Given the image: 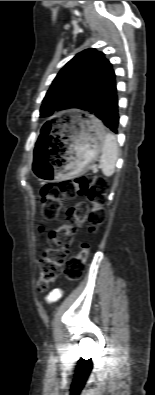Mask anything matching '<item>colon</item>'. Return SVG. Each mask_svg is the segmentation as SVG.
<instances>
[{
    "mask_svg": "<svg viewBox=\"0 0 155 395\" xmlns=\"http://www.w3.org/2000/svg\"><path fill=\"white\" fill-rule=\"evenodd\" d=\"M108 182L105 178L85 174L57 184L45 185L40 193L41 211L47 220L57 218L66 199L85 196L89 202H80L68 208L63 222L49 233V239L55 243L54 248L47 249L40 260L38 289L44 291L61 273L65 251L69 247L72 235L88 222L90 229L101 226L106 218L104 208ZM89 246L83 244L81 252L65 263L64 273L68 280H78L84 270Z\"/></svg>",
    "mask_w": 155,
    "mask_h": 395,
    "instance_id": "5ec220e1",
    "label": "colon"
}]
</instances>
